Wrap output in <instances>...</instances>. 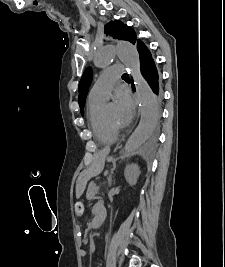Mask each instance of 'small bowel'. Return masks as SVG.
Returning <instances> with one entry per match:
<instances>
[{"mask_svg": "<svg viewBox=\"0 0 225 267\" xmlns=\"http://www.w3.org/2000/svg\"><path fill=\"white\" fill-rule=\"evenodd\" d=\"M103 209H104L103 205H101V204H97V205L94 207V209H93V212H94L95 217H96V215H97V211H98V210L103 211ZM80 256H82V257L86 256V251H85L84 249H82V250L80 251Z\"/></svg>", "mask_w": 225, "mask_h": 267, "instance_id": "small-bowel-1", "label": "small bowel"}]
</instances>
